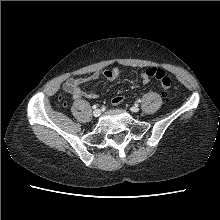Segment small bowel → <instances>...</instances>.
<instances>
[{
  "label": "small bowel",
  "mask_w": 220,
  "mask_h": 220,
  "mask_svg": "<svg viewBox=\"0 0 220 220\" xmlns=\"http://www.w3.org/2000/svg\"><path fill=\"white\" fill-rule=\"evenodd\" d=\"M120 70L118 68L113 69H107L103 71L96 72L89 76H83V77H71L66 80L64 83V89L71 93L75 99H81L83 97L89 98V99H95L97 95L94 92L85 91L81 88V85L95 81L99 78H105L109 81L115 80L119 77ZM141 79L143 83H148L149 78L146 76L145 72L141 74ZM122 96H116L112 99V103L114 105H118L123 101Z\"/></svg>",
  "instance_id": "small-bowel-1"
}]
</instances>
